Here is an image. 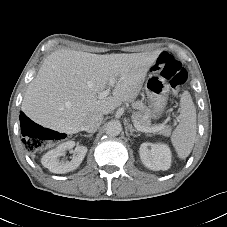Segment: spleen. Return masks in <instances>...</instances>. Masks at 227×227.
Masks as SVG:
<instances>
[{"instance_id":"1","label":"spleen","mask_w":227,"mask_h":227,"mask_svg":"<svg viewBox=\"0 0 227 227\" xmlns=\"http://www.w3.org/2000/svg\"><path fill=\"white\" fill-rule=\"evenodd\" d=\"M180 123L173 131L171 142L178 157L185 159L191 153L196 138V108L188 91L183 92L179 107Z\"/></svg>"}]
</instances>
